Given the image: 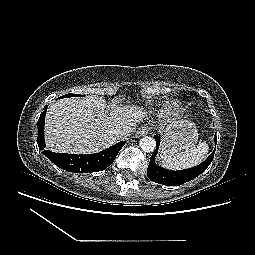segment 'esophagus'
I'll return each mask as SVG.
<instances>
[{
  "mask_svg": "<svg viewBox=\"0 0 255 255\" xmlns=\"http://www.w3.org/2000/svg\"><path fill=\"white\" fill-rule=\"evenodd\" d=\"M149 132V127L144 125V126H141L140 128H138V130L135 132V137L136 138H140L146 134H148Z\"/></svg>",
  "mask_w": 255,
  "mask_h": 255,
  "instance_id": "obj_1",
  "label": "esophagus"
}]
</instances>
